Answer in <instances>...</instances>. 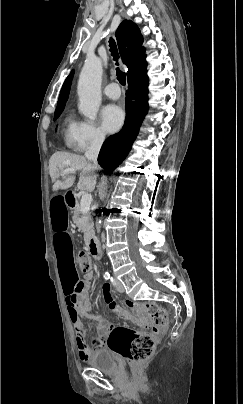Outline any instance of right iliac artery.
<instances>
[{
	"label": "right iliac artery",
	"mask_w": 243,
	"mask_h": 404,
	"mask_svg": "<svg viewBox=\"0 0 243 404\" xmlns=\"http://www.w3.org/2000/svg\"><path fill=\"white\" fill-rule=\"evenodd\" d=\"M103 277H104V279H106V280H108V279L111 278V276H110V274H109L108 272H106V273L103 275Z\"/></svg>",
	"instance_id": "right-iliac-artery-1"
}]
</instances>
